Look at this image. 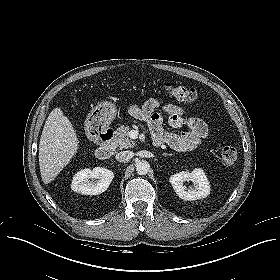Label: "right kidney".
I'll list each match as a JSON object with an SVG mask.
<instances>
[{
    "mask_svg": "<svg viewBox=\"0 0 280 280\" xmlns=\"http://www.w3.org/2000/svg\"><path fill=\"white\" fill-rule=\"evenodd\" d=\"M113 178L114 173L106 168H86L74 175L71 189L84 195H98L107 190Z\"/></svg>",
    "mask_w": 280,
    "mask_h": 280,
    "instance_id": "ca27d5eb",
    "label": "right kidney"
}]
</instances>
